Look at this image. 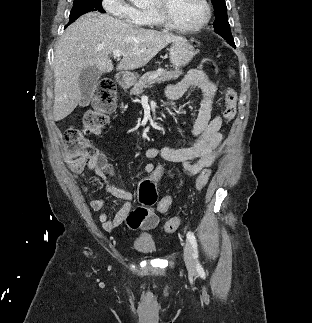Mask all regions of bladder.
<instances>
[{
  "instance_id": "bladder-1",
  "label": "bladder",
  "mask_w": 312,
  "mask_h": 323,
  "mask_svg": "<svg viewBox=\"0 0 312 323\" xmlns=\"http://www.w3.org/2000/svg\"><path fill=\"white\" fill-rule=\"evenodd\" d=\"M133 246L134 248L142 252H146V253L152 252L155 248V241H154L153 235L146 234V235L136 236L133 241Z\"/></svg>"
}]
</instances>
